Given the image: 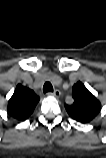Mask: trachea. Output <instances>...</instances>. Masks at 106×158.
<instances>
[{
    "label": "trachea",
    "instance_id": "trachea-1",
    "mask_svg": "<svg viewBox=\"0 0 106 158\" xmlns=\"http://www.w3.org/2000/svg\"><path fill=\"white\" fill-rule=\"evenodd\" d=\"M43 92L44 93L53 92V86L50 82H45V84L43 86Z\"/></svg>",
    "mask_w": 106,
    "mask_h": 158
}]
</instances>
